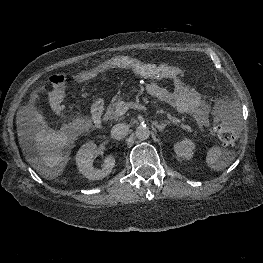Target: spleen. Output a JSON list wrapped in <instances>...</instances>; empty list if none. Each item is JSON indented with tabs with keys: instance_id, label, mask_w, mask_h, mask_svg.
<instances>
[{
	"instance_id": "obj_1",
	"label": "spleen",
	"mask_w": 263,
	"mask_h": 263,
	"mask_svg": "<svg viewBox=\"0 0 263 263\" xmlns=\"http://www.w3.org/2000/svg\"><path fill=\"white\" fill-rule=\"evenodd\" d=\"M206 164L216 170H221L227 167L231 161V152L221 148L220 146H213L207 151Z\"/></svg>"
}]
</instances>
